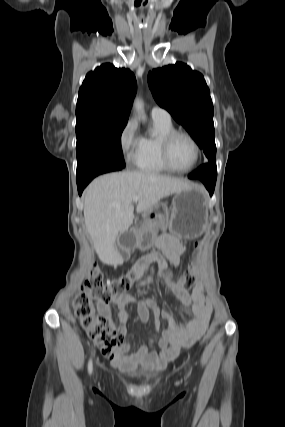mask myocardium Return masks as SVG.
<instances>
[{"instance_id":"1","label":"myocardium","mask_w":285,"mask_h":427,"mask_svg":"<svg viewBox=\"0 0 285 427\" xmlns=\"http://www.w3.org/2000/svg\"><path fill=\"white\" fill-rule=\"evenodd\" d=\"M178 136H184V137L188 138L191 141V143L193 144L194 149H195L194 161L186 169H177L172 165V163L170 161V147H171L173 140ZM160 156H161L162 163L164 164V166L169 171L174 172V173L184 174V173L191 172L197 166V164L199 162V158H200V146H199L198 142L196 141V139L190 133L183 131V130L174 129L162 137L161 142H160Z\"/></svg>"}]
</instances>
